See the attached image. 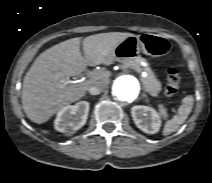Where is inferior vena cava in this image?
Instances as JSON below:
<instances>
[{
  "instance_id": "1",
  "label": "inferior vena cava",
  "mask_w": 212,
  "mask_h": 183,
  "mask_svg": "<svg viewBox=\"0 0 212 183\" xmlns=\"http://www.w3.org/2000/svg\"><path fill=\"white\" fill-rule=\"evenodd\" d=\"M107 81H97L88 89L92 95L100 94L106 87Z\"/></svg>"
}]
</instances>
